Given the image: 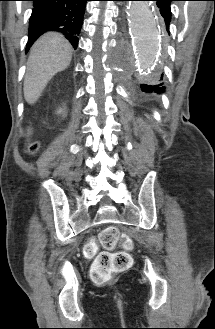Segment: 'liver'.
<instances>
[{"mask_svg": "<svg viewBox=\"0 0 215 329\" xmlns=\"http://www.w3.org/2000/svg\"><path fill=\"white\" fill-rule=\"evenodd\" d=\"M73 48L63 35L48 32L32 46L24 79V97L34 105L52 77L71 62Z\"/></svg>", "mask_w": 215, "mask_h": 329, "instance_id": "6515ba94", "label": "liver"}]
</instances>
